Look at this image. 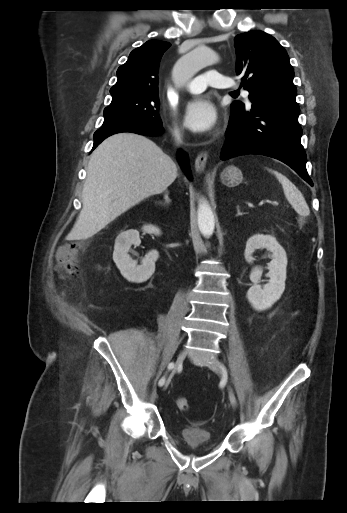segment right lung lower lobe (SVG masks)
<instances>
[{"label": "right lung lower lobe", "mask_w": 347, "mask_h": 513, "mask_svg": "<svg viewBox=\"0 0 347 513\" xmlns=\"http://www.w3.org/2000/svg\"><path fill=\"white\" fill-rule=\"evenodd\" d=\"M163 131L162 125L149 124L138 120H124L103 125L94 134L95 149L105 138L120 132H132L141 135L155 136ZM178 161L187 177L191 178L189 160L185 152L178 151Z\"/></svg>", "instance_id": "right-lung-lower-lobe-1"}]
</instances>
